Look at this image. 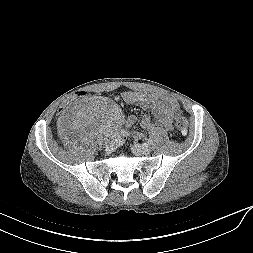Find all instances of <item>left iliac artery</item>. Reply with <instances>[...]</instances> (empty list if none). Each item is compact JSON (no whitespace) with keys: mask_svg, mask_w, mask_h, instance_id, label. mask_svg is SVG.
<instances>
[{"mask_svg":"<svg viewBox=\"0 0 253 253\" xmlns=\"http://www.w3.org/2000/svg\"><path fill=\"white\" fill-rule=\"evenodd\" d=\"M147 143H148L149 145H151V144L153 143V140H152L151 138H149V139L147 140Z\"/></svg>","mask_w":253,"mask_h":253,"instance_id":"left-iliac-artery-1","label":"left iliac artery"}]
</instances>
